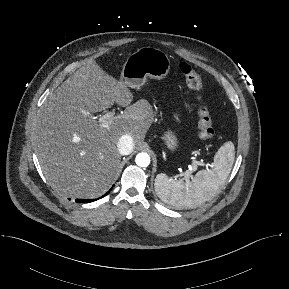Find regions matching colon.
I'll list each match as a JSON object with an SVG mask.
<instances>
[{
  "label": "colon",
  "mask_w": 289,
  "mask_h": 289,
  "mask_svg": "<svg viewBox=\"0 0 289 289\" xmlns=\"http://www.w3.org/2000/svg\"><path fill=\"white\" fill-rule=\"evenodd\" d=\"M179 69L185 78L186 85L195 91L197 98H202V80L196 70L188 63L181 62ZM199 136L204 140H209L214 136L213 120L209 109L205 105H200L197 111Z\"/></svg>",
  "instance_id": "5ec220e1"
}]
</instances>
